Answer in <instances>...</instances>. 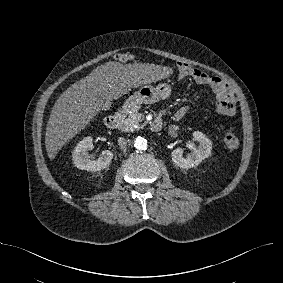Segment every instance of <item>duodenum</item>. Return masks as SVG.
I'll list each match as a JSON object with an SVG mask.
<instances>
[{
  "label": "duodenum",
  "mask_w": 283,
  "mask_h": 283,
  "mask_svg": "<svg viewBox=\"0 0 283 283\" xmlns=\"http://www.w3.org/2000/svg\"><path fill=\"white\" fill-rule=\"evenodd\" d=\"M121 121V116L119 114H114L106 119V126L110 129H116ZM162 128V119L157 117L151 124L150 129L154 132L160 131Z\"/></svg>",
  "instance_id": "410a0bca"
}]
</instances>
